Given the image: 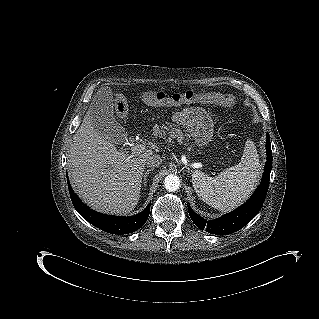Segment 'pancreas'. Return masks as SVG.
Here are the masks:
<instances>
[{
	"mask_svg": "<svg viewBox=\"0 0 319 319\" xmlns=\"http://www.w3.org/2000/svg\"><path fill=\"white\" fill-rule=\"evenodd\" d=\"M166 133H171L174 137H178L179 142H183L185 139L182 131L172 123H168L167 126H155L153 129V134L156 137H164Z\"/></svg>",
	"mask_w": 319,
	"mask_h": 319,
	"instance_id": "obj_1",
	"label": "pancreas"
}]
</instances>
